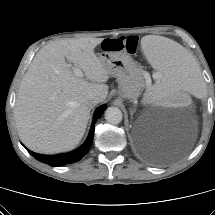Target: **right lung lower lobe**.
Wrapping results in <instances>:
<instances>
[{
  "label": "right lung lower lobe",
  "mask_w": 215,
  "mask_h": 215,
  "mask_svg": "<svg viewBox=\"0 0 215 215\" xmlns=\"http://www.w3.org/2000/svg\"><path fill=\"white\" fill-rule=\"evenodd\" d=\"M105 109H106V105H102L95 111L89 135L86 141L84 142V144H82L76 150L69 153L58 154V155L37 154L26 148L27 151L32 156H34L38 161L49 164L50 166H63V165L74 163L81 160L84 157V155L88 152L89 148L91 147L93 137H94V130H95L94 125L97 122V120L101 117Z\"/></svg>",
  "instance_id": "obj_1"
}]
</instances>
